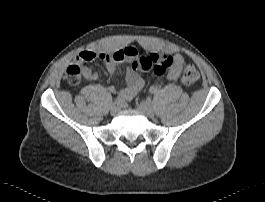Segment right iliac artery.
<instances>
[{
	"instance_id": "1",
	"label": "right iliac artery",
	"mask_w": 265,
	"mask_h": 202,
	"mask_svg": "<svg viewBox=\"0 0 265 202\" xmlns=\"http://www.w3.org/2000/svg\"><path fill=\"white\" fill-rule=\"evenodd\" d=\"M123 102V99L122 97L118 96L115 100H114V103H118V104H121Z\"/></svg>"
}]
</instances>
